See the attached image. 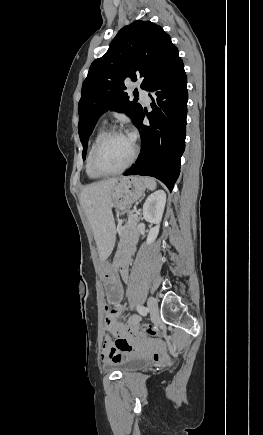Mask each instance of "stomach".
<instances>
[{"label": "stomach", "mask_w": 263, "mask_h": 435, "mask_svg": "<svg viewBox=\"0 0 263 435\" xmlns=\"http://www.w3.org/2000/svg\"><path fill=\"white\" fill-rule=\"evenodd\" d=\"M146 186L140 177L121 178L111 191V204L117 211L124 213L134 202L144 195ZM104 261L101 281L107 305H122L126 287L120 278L125 277L124 262L111 259Z\"/></svg>", "instance_id": "1"}]
</instances>
